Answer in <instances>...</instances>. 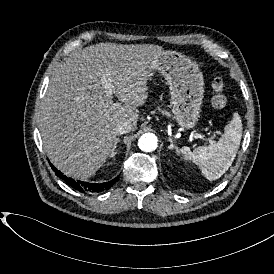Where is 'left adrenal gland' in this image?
Returning a JSON list of instances; mask_svg holds the SVG:
<instances>
[{
	"label": "left adrenal gland",
	"mask_w": 274,
	"mask_h": 274,
	"mask_svg": "<svg viewBox=\"0 0 274 274\" xmlns=\"http://www.w3.org/2000/svg\"><path fill=\"white\" fill-rule=\"evenodd\" d=\"M168 141L170 142V145L168 146V149H175L176 150V154L179 156L180 155V150L177 146H175L173 144V140L172 138H168Z\"/></svg>",
	"instance_id": "left-adrenal-gland-1"
}]
</instances>
